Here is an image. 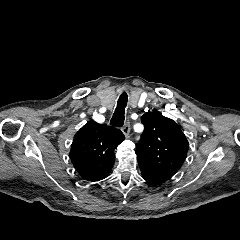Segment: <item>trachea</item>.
<instances>
[{"label":"trachea","instance_id":"obj_1","mask_svg":"<svg viewBox=\"0 0 240 240\" xmlns=\"http://www.w3.org/2000/svg\"><path fill=\"white\" fill-rule=\"evenodd\" d=\"M128 96L122 93L118 99L117 108L111 118L110 124L116 127H122L125 120V107L127 105Z\"/></svg>","mask_w":240,"mask_h":240}]
</instances>
